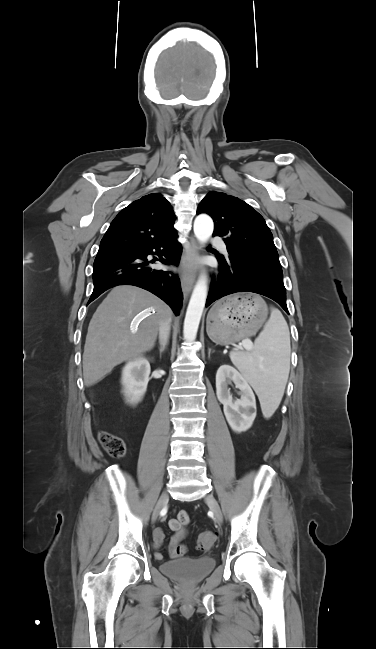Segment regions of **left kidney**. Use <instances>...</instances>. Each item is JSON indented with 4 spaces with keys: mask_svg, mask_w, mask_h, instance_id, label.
Instances as JSON below:
<instances>
[{
    "mask_svg": "<svg viewBox=\"0 0 376 649\" xmlns=\"http://www.w3.org/2000/svg\"><path fill=\"white\" fill-rule=\"evenodd\" d=\"M234 382L240 390L241 398L234 400L228 384ZM216 395L223 404L227 422L235 432L248 430L256 417L255 395L247 380L235 368L229 365L221 366L216 374Z\"/></svg>",
    "mask_w": 376,
    "mask_h": 649,
    "instance_id": "1",
    "label": "left kidney"
}]
</instances>
